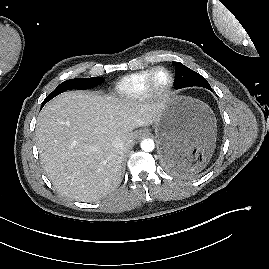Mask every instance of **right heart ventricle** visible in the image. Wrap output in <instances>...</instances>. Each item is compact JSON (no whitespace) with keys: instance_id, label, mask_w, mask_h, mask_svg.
<instances>
[{"instance_id":"right-heart-ventricle-1","label":"right heart ventricle","mask_w":269,"mask_h":269,"mask_svg":"<svg viewBox=\"0 0 269 269\" xmlns=\"http://www.w3.org/2000/svg\"><path fill=\"white\" fill-rule=\"evenodd\" d=\"M152 70H143L123 77L115 87L116 94L124 99H138L145 94L147 79Z\"/></svg>"}]
</instances>
